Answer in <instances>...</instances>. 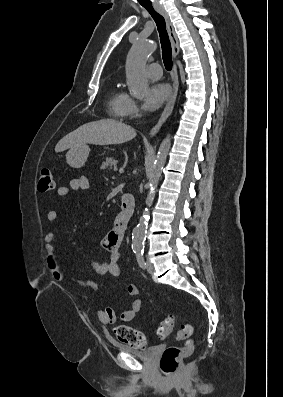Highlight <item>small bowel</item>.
Returning <instances> with one entry per match:
<instances>
[{
  "instance_id": "obj_1",
  "label": "small bowel",
  "mask_w": 283,
  "mask_h": 397,
  "mask_svg": "<svg viewBox=\"0 0 283 397\" xmlns=\"http://www.w3.org/2000/svg\"><path fill=\"white\" fill-rule=\"evenodd\" d=\"M89 181L86 177L72 179L68 186H61L57 189V195L66 197L72 191H84L88 189ZM59 217L57 210H50L47 213V219L50 222H55ZM124 233H120L115 228L110 230L102 240V246L108 253V260L106 262L94 261L92 263L93 270L100 276L110 275L113 278H118L120 275V252L119 247L122 242ZM55 235L48 232L44 237V251L45 263L51 276L56 281L69 280L84 289L99 290L103 283L80 279L76 276H66L60 269L58 260L55 255ZM127 295L133 297L130 306L121 312L119 319L122 322H130L134 319L136 314L141 310L143 301L139 297V288L136 284H129L126 288ZM97 317L102 324L111 325L117 322L118 316L112 307H104L98 310Z\"/></svg>"
}]
</instances>
